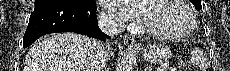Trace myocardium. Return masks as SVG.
Instances as JSON below:
<instances>
[{
	"label": "myocardium",
	"instance_id": "f54148a6",
	"mask_svg": "<svg viewBox=\"0 0 230 71\" xmlns=\"http://www.w3.org/2000/svg\"><path fill=\"white\" fill-rule=\"evenodd\" d=\"M174 1H176L180 6H182L189 16L190 25L188 26L186 30L180 33L159 32V31L152 29L144 22L140 24L139 29L142 32L148 34L149 36L156 38V39H160V40H180V39H184L188 37L189 35H191L197 27L196 15L194 11L192 10V8L187 4L186 1H183V0H174Z\"/></svg>",
	"mask_w": 230,
	"mask_h": 71
}]
</instances>
